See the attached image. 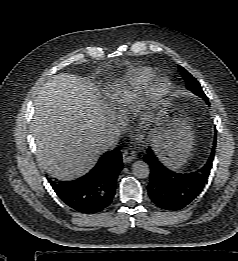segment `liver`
Returning a JSON list of instances; mask_svg holds the SVG:
<instances>
[{"instance_id":"obj_1","label":"liver","mask_w":238,"mask_h":261,"mask_svg":"<svg viewBox=\"0 0 238 261\" xmlns=\"http://www.w3.org/2000/svg\"><path fill=\"white\" fill-rule=\"evenodd\" d=\"M108 112L92 83L68 73L47 80L35 100L32 120L43 169L60 180L91 170L103 152Z\"/></svg>"}]
</instances>
